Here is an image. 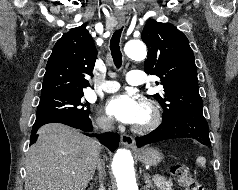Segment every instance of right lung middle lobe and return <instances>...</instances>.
I'll return each instance as SVG.
<instances>
[{
	"label": "right lung middle lobe",
	"instance_id": "dd1d6c3e",
	"mask_svg": "<svg viewBox=\"0 0 238 190\" xmlns=\"http://www.w3.org/2000/svg\"><path fill=\"white\" fill-rule=\"evenodd\" d=\"M83 92L40 98L35 122L57 118L89 117L90 106L82 99Z\"/></svg>",
	"mask_w": 238,
	"mask_h": 190
}]
</instances>
